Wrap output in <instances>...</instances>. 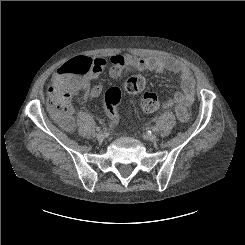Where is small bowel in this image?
<instances>
[{
  "instance_id": "small-bowel-1",
  "label": "small bowel",
  "mask_w": 245,
  "mask_h": 245,
  "mask_svg": "<svg viewBox=\"0 0 245 245\" xmlns=\"http://www.w3.org/2000/svg\"><path fill=\"white\" fill-rule=\"evenodd\" d=\"M100 63L102 69L107 64L102 59H95ZM110 62V74L113 77H120L126 70L133 69L137 71L155 70V71H170L179 75L180 86L182 91L175 93L168 100L161 102L159 108L170 109L173 108L178 102H182L184 105H190L194 100L195 95V81L189 71V69L176 59L162 56L153 57H135L130 54H114L109 59ZM63 65L58 67L55 74L52 77L53 81H58L63 77L62 74ZM75 93H83L85 99H93L101 95L103 91L102 84H95L90 86L87 82L81 88L73 89ZM117 118H118V112Z\"/></svg>"
}]
</instances>
